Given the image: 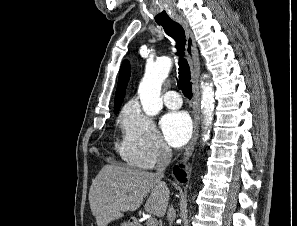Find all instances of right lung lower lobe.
<instances>
[{
  "instance_id": "1",
  "label": "right lung lower lobe",
  "mask_w": 297,
  "mask_h": 226,
  "mask_svg": "<svg viewBox=\"0 0 297 226\" xmlns=\"http://www.w3.org/2000/svg\"><path fill=\"white\" fill-rule=\"evenodd\" d=\"M173 172L179 181L186 182L185 173L182 170H179L178 166L174 167Z\"/></svg>"
}]
</instances>
